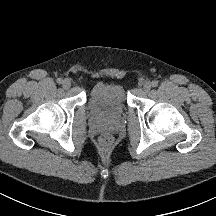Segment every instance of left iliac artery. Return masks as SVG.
I'll use <instances>...</instances> for the list:
<instances>
[{
  "instance_id": "44dca946",
  "label": "left iliac artery",
  "mask_w": 216,
  "mask_h": 216,
  "mask_svg": "<svg viewBox=\"0 0 216 216\" xmlns=\"http://www.w3.org/2000/svg\"><path fill=\"white\" fill-rule=\"evenodd\" d=\"M152 86L157 87L158 86V81H156V80L152 81Z\"/></svg>"
}]
</instances>
